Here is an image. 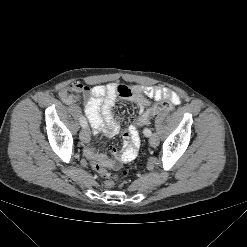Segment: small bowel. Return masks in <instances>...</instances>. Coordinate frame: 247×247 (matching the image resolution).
Masks as SVG:
<instances>
[{
  "label": "small bowel",
  "instance_id": "c3829d8e",
  "mask_svg": "<svg viewBox=\"0 0 247 247\" xmlns=\"http://www.w3.org/2000/svg\"><path fill=\"white\" fill-rule=\"evenodd\" d=\"M119 86L116 83L94 86L72 83L59 92L60 100L66 104H74L81 97L87 100L84 111L95 134L108 137L123 134V150L120 153L113 147L109 150L113 158L93 148L85 149V155L94 168L99 164L105 168L118 169L122 163L132 161L137 156L140 144L139 127L134 122L128 129H124L114 115V107L120 98L134 102L140 113L149 105L150 98L156 101L165 100L173 105L180 103L178 94L168 88L136 85L129 88L128 96H121L118 92Z\"/></svg>",
  "mask_w": 247,
  "mask_h": 247
}]
</instances>
